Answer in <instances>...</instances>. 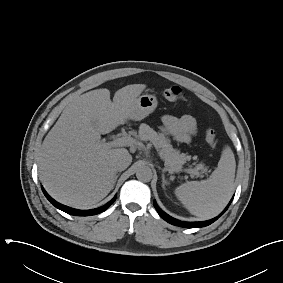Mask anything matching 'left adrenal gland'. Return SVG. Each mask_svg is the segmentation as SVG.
I'll list each match as a JSON object with an SVG mask.
<instances>
[{
	"label": "left adrenal gland",
	"instance_id": "obj_1",
	"mask_svg": "<svg viewBox=\"0 0 283 283\" xmlns=\"http://www.w3.org/2000/svg\"><path fill=\"white\" fill-rule=\"evenodd\" d=\"M167 184H169V182L165 179L164 173H162V187L165 188Z\"/></svg>",
	"mask_w": 283,
	"mask_h": 283
}]
</instances>
